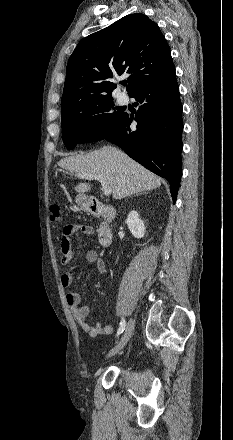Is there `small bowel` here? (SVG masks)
<instances>
[{"label":"small bowel","instance_id":"c3829d8e","mask_svg":"<svg viewBox=\"0 0 233 440\" xmlns=\"http://www.w3.org/2000/svg\"><path fill=\"white\" fill-rule=\"evenodd\" d=\"M93 227L85 224H69L62 228L60 233V251H61V263L68 265L73 258V248L71 244V238L78 233L86 235L93 234ZM86 260L89 263L95 265L98 273L102 274L106 271V264L104 260L99 256L95 250H89L86 253ZM73 268H69L61 275L60 282L62 287L68 288L72 284ZM66 302L72 312L75 321L79 324L80 328L86 332L90 337H98L101 335L111 334L114 330L112 325L95 324L91 325L87 322L86 318L90 313L88 305H80L81 296L78 292L68 290L66 292Z\"/></svg>","mask_w":233,"mask_h":440}]
</instances>
